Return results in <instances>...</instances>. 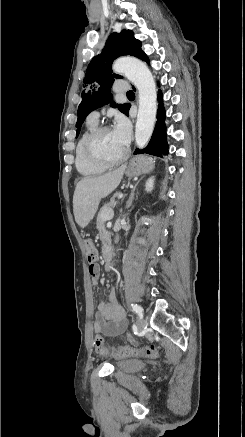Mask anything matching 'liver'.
<instances>
[{"label": "liver", "mask_w": 245, "mask_h": 437, "mask_svg": "<svg viewBox=\"0 0 245 437\" xmlns=\"http://www.w3.org/2000/svg\"><path fill=\"white\" fill-rule=\"evenodd\" d=\"M126 166L97 177L80 180L73 195V213L80 228H85L94 218L102 198L107 197L120 184Z\"/></svg>", "instance_id": "6515ba94"}]
</instances>
